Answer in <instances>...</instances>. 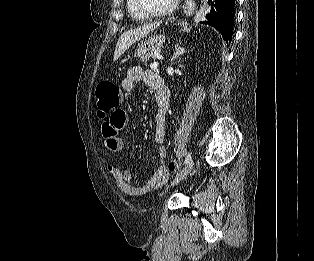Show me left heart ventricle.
Here are the masks:
<instances>
[{"label": "left heart ventricle", "mask_w": 314, "mask_h": 261, "mask_svg": "<svg viewBox=\"0 0 314 261\" xmlns=\"http://www.w3.org/2000/svg\"><path fill=\"white\" fill-rule=\"evenodd\" d=\"M144 3L153 10H163L169 7L173 0H143Z\"/></svg>", "instance_id": "1"}]
</instances>
